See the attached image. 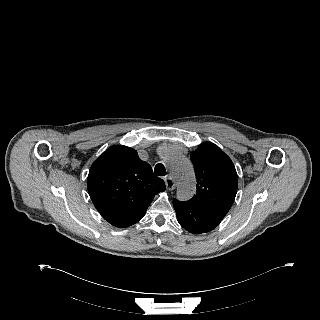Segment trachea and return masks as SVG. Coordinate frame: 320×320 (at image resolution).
<instances>
[{
  "label": "trachea",
  "instance_id": "obj_1",
  "mask_svg": "<svg viewBox=\"0 0 320 320\" xmlns=\"http://www.w3.org/2000/svg\"><path fill=\"white\" fill-rule=\"evenodd\" d=\"M154 172H155L156 176H165L166 175V170L161 163H158L155 166Z\"/></svg>",
  "mask_w": 320,
  "mask_h": 320
}]
</instances>
